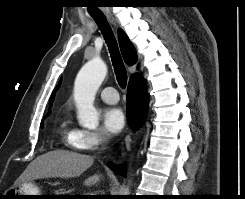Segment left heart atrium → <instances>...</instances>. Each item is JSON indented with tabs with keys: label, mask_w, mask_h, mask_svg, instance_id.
Returning <instances> with one entry per match:
<instances>
[{
	"label": "left heart atrium",
	"mask_w": 245,
	"mask_h": 199,
	"mask_svg": "<svg viewBox=\"0 0 245 199\" xmlns=\"http://www.w3.org/2000/svg\"><path fill=\"white\" fill-rule=\"evenodd\" d=\"M104 126L107 131L113 134L119 133L125 124V116L117 107L108 108L103 115Z\"/></svg>",
	"instance_id": "39dd6f15"
}]
</instances>
